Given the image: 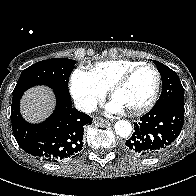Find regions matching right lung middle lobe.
<instances>
[{
	"mask_svg": "<svg viewBox=\"0 0 196 196\" xmlns=\"http://www.w3.org/2000/svg\"><path fill=\"white\" fill-rule=\"evenodd\" d=\"M76 61L65 58L48 59L37 62L23 70L13 91V96L23 93L36 85H46L55 91L71 97L68 80Z\"/></svg>",
	"mask_w": 196,
	"mask_h": 196,
	"instance_id": "right-lung-middle-lobe-1",
	"label": "right lung middle lobe"
}]
</instances>
